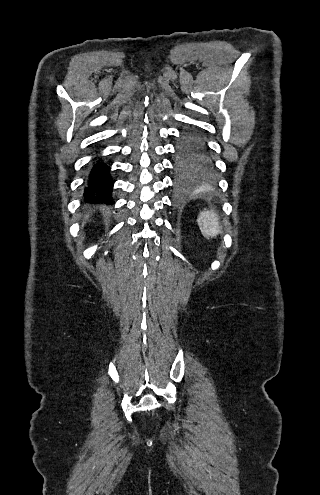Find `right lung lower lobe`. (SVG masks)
Listing matches in <instances>:
<instances>
[{
    "instance_id": "1",
    "label": "right lung lower lobe",
    "mask_w": 320,
    "mask_h": 495,
    "mask_svg": "<svg viewBox=\"0 0 320 495\" xmlns=\"http://www.w3.org/2000/svg\"><path fill=\"white\" fill-rule=\"evenodd\" d=\"M109 173L110 167L102 160V157H95L91 161L84 191V198L87 202L111 201L114 182Z\"/></svg>"
}]
</instances>
